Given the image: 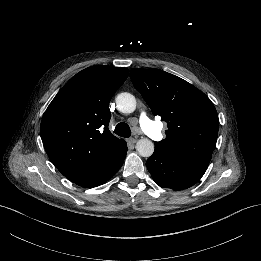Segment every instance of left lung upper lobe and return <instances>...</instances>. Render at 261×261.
Wrapping results in <instances>:
<instances>
[{"instance_id":"1","label":"left lung upper lobe","mask_w":261,"mask_h":261,"mask_svg":"<svg viewBox=\"0 0 261 261\" xmlns=\"http://www.w3.org/2000/svg\"><path fill=\"white\" fill-rule=\"evenodd\" d=\"M131 80L154 115L167 122L155 149L175 157L210 162L219 120L211 100L187 81L160 69H132Z\"/></svg>"}]
</instances>
